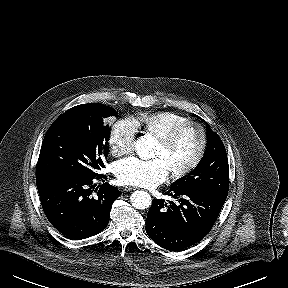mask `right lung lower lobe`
I'll list each match as a JSON object with an SVG mask.
<instances>
[{
    "label": "right lung lower lobe",
    "mask_w": 288,
    "mask_h": 288,
    "mask_svg": "<svg viewBox=\"0 0 288 288\" xmlns=\"http://www.w3.org/2000/svg\"><path fill=\"white\" fill-rule=\"evenodd\" d=\"M93 179L67 175L36 178L46 217L69 238L84 239L104 230L109 223L111 206L121 194L116 187L104 183L96 188L93 196ZM96 179L107 177L98 175Z\"/></svg>",
    "instance_id": "obj_1"
}]
</instances>
